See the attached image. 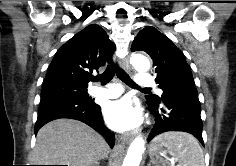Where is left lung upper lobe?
Wrapping results in <instances>:
<instances>
[{
  "mask_svg": "<svg viewBox=\"0 0 236 166\" xmlns=\"http://www.w3.org/2000/svg\"><path fill=\"white\" fill-rule=\"evenodd\" d=\"M131 50L145 51L153 59L155 81L163 90L162 97L147 95V102L160 104L169 90L176 88L196 89L191 69L184 54L165 35L154 27L144 28L135 38Z\"/></svg>",
  "mask_w": 236,
  "mask_h": 166,
  "instance_id": "obj_1",
  "label": "left lung upper lobe"
}]
</instances>
